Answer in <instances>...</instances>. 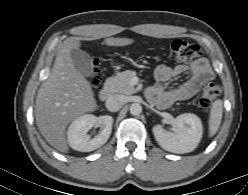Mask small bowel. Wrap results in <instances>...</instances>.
<instances>
[{
	"label": "small bowel",
	"mask_w": 248,
	"mask_h": 195,
	"mask_svg": "<svg viewBox=\"0 0 248 195\" xmlns=\"http://www.w3.org/2000/svg\"><path fill=\"white\" fill-rule=\"evenodd\" d=\"M188 72V77L181 84L172 89L166 88L167 81ZM154 76L156 84L148 90V96L159 107L168 108L174 103L191 99L204 83L213 78V71L207 60L200 59L191 67L182 64L175 67L160 65L156 68Z\"/></svg>",
	"instance_id": "1"
}]
</instances>
